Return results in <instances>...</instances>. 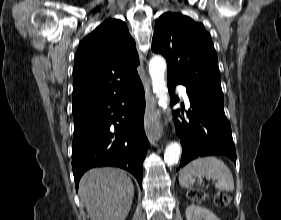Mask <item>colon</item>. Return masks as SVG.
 Wrapping results in <instances>:
<instances>
[{
	"label": "colon",
	"mask_w": 281,
	"mask_h": 220,
	"mask_svg": "<svg viewBox=\"0 0 281 220\" xmlns=\"http://www.w3.org/2000/svg\"><path fill=\"white\" fill-rule=\"evenodd\" d=\"M188 196L192 201L196 202L203 201L207 198L206 193L198 189L190 191ZM213 201L217 206H226L230 202V197L227 194L219 193L214 196Z\"/></svg>",
	"instance_id": "obj_1"
}]
</instances>
